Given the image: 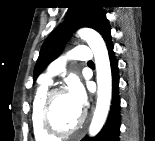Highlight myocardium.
Segmentation results:
<instances>
[{
  "label": "myocardium",
  "instance_id": "1",
  "mask_svg": "<svg viewBox=\"0 0 155 141\" xmlns=\"http://www.w3.org/2000/svg\"><path fill=\"white\" fill-rule=\"evenodd\" d=\"M65 93L62 88H52L45 94L41 107H40V123L43 130L53 137H66L77 133L79 130L83 129L86 123V116L81 115V118L77 125L71 129L63 130L58 128L51 119V108L53 99L60 94Z\"/></svg>",
  "mask_w": 155,
  "mask_h": 141
}]
</instances>
